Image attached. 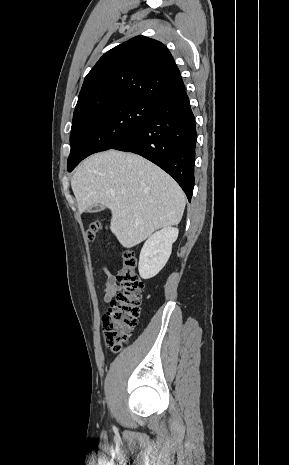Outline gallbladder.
<instances>
[{"mask_svg": "<svg viewBox=\"0 0 289 465\" xmlns=\"http://www.w3.org/2000/svg\"><path fill=\"white\" fill-rule=\"evenodd\" d=\"M104 207L100 204H94L90 207L87 208V212L89 213H94V212H98V211H101Z\"/></svg>", "mask_w": 289, "mask_h": 465, "instance_id": "1", "label": "gallbladder"}]
</instances>
